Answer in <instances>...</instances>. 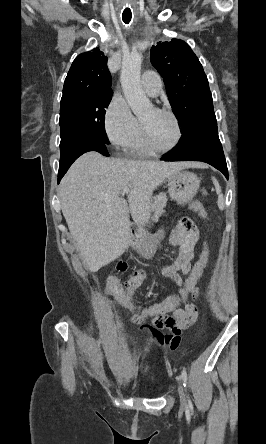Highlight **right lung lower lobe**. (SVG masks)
I'll list each match as a JSON object with an SVG mask.
<instances>
[{
    "mask_svg": "<svg viewBox=\"0 0 266 444\" xmlns=\"http://www.w3.org/2000/svg\"><path fill=\"white\" fill-rule=\"evenodd\" d=\"M107 144L98 139H87L79 143L75 148L68 152L65 156L60 157V165L58 172V183L67 172L72 163L82 154L89 151H97L104 156H109L107 152Z\"/></svg>",
    "mask_w": 266,
    "mask_h": 444,
    "instance_id": "right-lung-lower-lobe-1",
    "label": "right lung lower lobe"
}]
</instances>
